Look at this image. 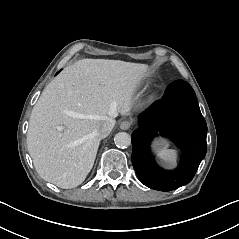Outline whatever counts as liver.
<instances>
[{"instance_id":"1","label":"liver","mask_w":239,"mask_h":239,"mask_svg":"<svg viewBox=\"0 0 239 239\" xmlns=\"http://www.w3.org/2000/svg\"><path fill=\"white\" fill-rule=\"evenodd\" d=\"M148 65L82 59L65 67L33 107L28 152L42 179L63 189L80 185L93 167L97 130L120 113L129 115ZM86 138L81 144L70 143Z\"/></svg>"}]
</instances>
